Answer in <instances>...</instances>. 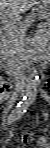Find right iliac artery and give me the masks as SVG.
Segmentation results:
<instances>
[{"instance_id":"1","label":"right iliac artery","mask_w":50,"mask_h":148,"mask_svg":"<svg viewBox=\"0 0 50 148\" xmlns=\"http://www.w3.org/2000/svg\"><path fill=\"white\" fill-rule=\"evenodd\" d=\"M28 103L19 102L17 107L12 111L8 117V125L18 120L27 110Z\"/></svg>"}]
</instances>
